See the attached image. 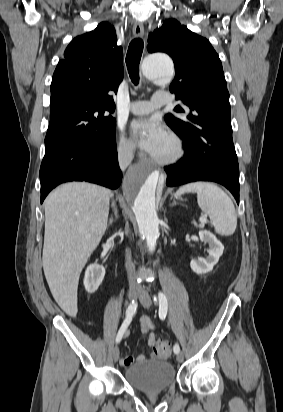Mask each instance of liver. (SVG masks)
<instances>
[{
  "mask_svg": "<svg viewBox=\"0 0 283 412\" xmlns=\"http://www.w3.org/2000/svg\"><path fill=\"white\" fill-rule=\"evenodd\" d=\"M110 190L85 183H66L44 202L42 264L50 291L69 316L77 314L82 269L107 228Z\"/></svg>",
  "mask_w": 283,
  "mask_h": 412,
  "instance_id": "obj_1",
  "label": "liver"
}]
</instances>
